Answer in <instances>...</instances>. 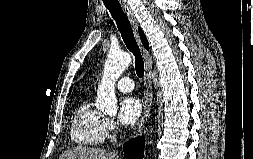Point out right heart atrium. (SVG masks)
Wrapping results in <instances>:
<instances>
[{
    "instance_id": "d8ad5b80",
    "label": "right heart atrium",
    "mask_w": 253,
    "mask_h": 159,
    "mask_svg": "<svg viewBox=\"0 0 253 159\" xmlns=\"http://www.w3.org/2000/svg\"><path fill=\"white\" fill-rule=\"evenodd\" d=\"M115 131H116V125H115L114 121L111 119H106L105 120L106 137L107 138L113 137Z\"/></svg>"
}]
</instances>
